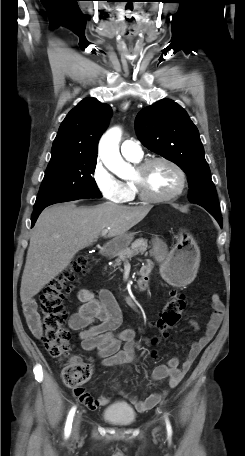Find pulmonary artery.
I'll return each instance as SVG.
<instances>
[{"label": "pulmonary artery", "instance_id": "obj_1", "mask_svg": "<svg viewBox=\"0 0 245 456\" xmlns=\"http://www.w3.org/2000/svg\"><path fill=\"white\" fill-rule=\"evenodd\" d=\"M121 153L126 158L139 159L143 152L138 142L134 140H125L121 145Z\"/></svg>", "mask_w": 245, "mask_h": 456}]
</instances>
